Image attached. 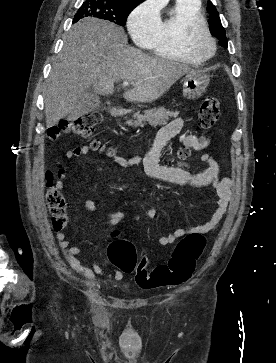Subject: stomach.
<instances>
[{
    "label": "stomach",
    "mask_w": 276,
    "mask_h": 363,
    "mask_svg": "<svg viewBox=\"0 0 276 363\" xmlns=\"http://www.w3.org/2000/svg\"><path fill=\"white\" fill-rule=\"evenodd\" d=\"M210 78L200 71L187 73L183 81V96L187 100H196L206 91Z\"/></svg>",
    "instance_id": "0dacf381"
}]
</instances>
